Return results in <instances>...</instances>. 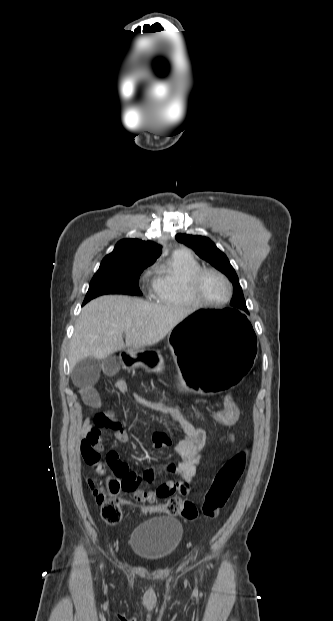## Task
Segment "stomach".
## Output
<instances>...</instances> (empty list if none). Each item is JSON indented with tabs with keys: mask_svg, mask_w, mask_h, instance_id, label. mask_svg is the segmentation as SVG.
I'll list each match as a JSON object with an SVG mask.
<instances>
[{
	"mask_svg": "<svg viewBox=\"0 0 333 621\" xmlns=\"http://www.w3.org/2000/svg\"><path fill=\"white\" fill-rule=\"evenodd\" d=\"M168 342L177 351L176 372L182 377L171 387L182 393L193 389L214 395L217 391L218 396L227 397L230 389L241 387L255 363L252 326L244 314L229 308L183 314ZM124 362L160 370L166 357L160 351L128 348Z\"/></svg>",
	"mask_w": 333,
	"mask_h": 621,
	"instance_id": "stomach-1",
	"label": "stomach"
}]
</instances>
